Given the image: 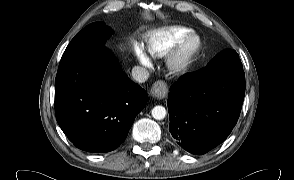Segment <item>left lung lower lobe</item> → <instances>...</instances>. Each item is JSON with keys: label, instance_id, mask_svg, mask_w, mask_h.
Here are the masks:
<instances>
[{"label": "left lung lower lobe", "instance_id": "obj_1", "mask_svg": "<svg viewBox=\"0 0 294 180\" xmlns=\"http://www.w3.org/2000/svg\"><path fill=\"white\" fill-rule=\"evenodd\" d=\"M245 95L242 65H215L185 74L170 88L169 131L192 154L222 143L237 123Z\"/></svg>", "mask_w": 294, "mask_h": 180}]
</instances>
